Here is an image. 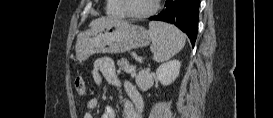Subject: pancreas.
<instances>
[{"label":"pancreas","mask_w":273,"mask_h":118,"mask_svg":"<svg viewBox=\"0 0 273 118\" xmlns=\"http://www.w3.org/2000/svg\"><path fill=\"white\" fill-rule=\"evenodd\" d=\"M117 65L121 70H124L126 73H130L132 75H135V67L130 66L128 61L126 59L118 60Z\"/></svg>","instance_id":"1"}]
</instances>
